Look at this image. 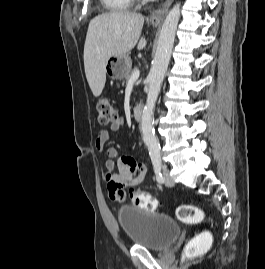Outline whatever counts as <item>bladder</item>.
Segmentation results:
<instances>
[{"instance_id":"1","label":"bladder","mask_w":265,"mask_h":269,"mask_svg":"<svg viewBox=\"0 0 265 269\" xmlns=\"http://www.w3.org/2000/svg\"><path fill=\"white\" fill-rule=\"evenodd\" d=\"M117 219L133 245L149 250L165 251L181 235L180 225L169 216L138 207H120Z\"/></svg>"}]
</instances>
